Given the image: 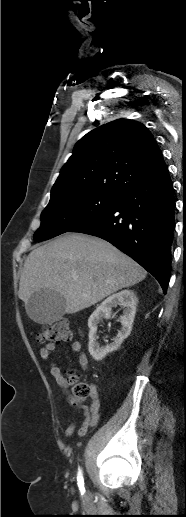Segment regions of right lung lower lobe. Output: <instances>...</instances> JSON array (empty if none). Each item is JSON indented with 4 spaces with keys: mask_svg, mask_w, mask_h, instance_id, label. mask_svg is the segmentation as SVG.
<instances>
[{
    "mask_svg": "<svg viewBox=\"0 0 186 517\" xmlns=\"http://www.w3.org/2000/svg\"><path fill=\"white\" fill-rule=\"evenodd\" d=\"M175 199L167 172L133 187L109 209L71 229L100 237L130 256L167 291L171 274Z\"/></svg>",
    "mask_w": 186,
    "mask_h": 517,
    "instance_id": "98d812e1",
    "label": "right lung lower lobe"
}]
</instances>
